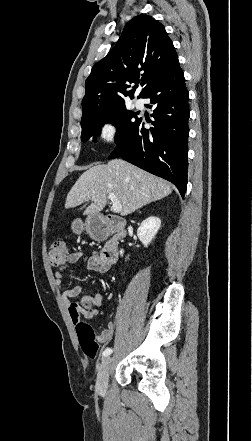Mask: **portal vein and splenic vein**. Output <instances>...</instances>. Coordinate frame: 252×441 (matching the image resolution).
<instances>
[{"label":"portal vein and splenic vein","instance_id":"obj_1","mask_svg":"<svg viewBox=\"0 0 252 441\" xmlns=\"http://www.w3.org/2000/svg\"><path fill=\"white\" fill-rule=\"evenodd\" d=\"M108 198L112 202V210L113 212H120L122 210V205L118 201L117 197L113 193H109Z\"/></svg>","mask_w":252,"mask_h":441}]
</instances>
